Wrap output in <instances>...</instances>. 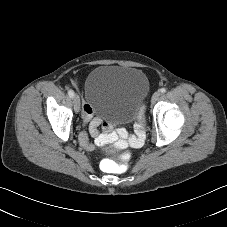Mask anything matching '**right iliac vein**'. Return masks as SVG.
I'll return each instance as SVG.
<instances>
[{
  "label": "right iliac vein",
  "mask_w": 227,
  "mask_h": 227,
  "mask_svg": "<svg viewBox=\"0 0 227 227\" xmlns=\"http://www.w3.org/2000/svg\"><path fill=\"white\" fill-rule=\"evenodd\" d=\"M73 103H74V110L75 112H79L80 110V98L77 94L73 97Z\"/></svg>",
  "instance_id": "1"
}]
</instances>
